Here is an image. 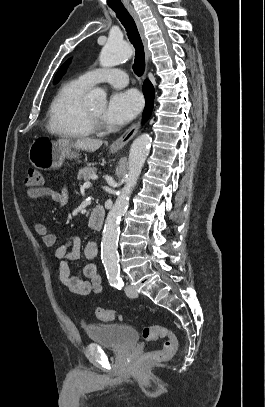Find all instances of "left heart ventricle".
I'll list each match as a JSON object with an SVG mask.
<instances>
[{"instance_id":"left-heart-ventricle-1","label":"left heart ventricle","mask_w":265,"mask_h":407,"mask_svg":"<svg viewBox=\"0 0 265 407\" xmlns=\"http://www.w3.org/2000/svg\"><path fill=\"white\" fill-rule=\"evenodd\" d=\"M89 109L94 112L97 116L103 119L104 117V111H105V105L100 104L96 106L89 107Z\"/></svg>"}]
</instances>
